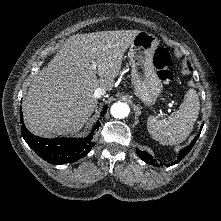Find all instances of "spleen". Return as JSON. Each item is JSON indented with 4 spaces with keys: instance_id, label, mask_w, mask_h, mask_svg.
<instances>
[{
    "instance_id": "3e777b00",
    "label": "spleen",
    "mask_w": 221,
    "mask_h": 221,
    "mask_svg": "<svg viewBox=\"0 0 221 221\" xmlns=\"http://www.w3.org/2000/svg\"><path fill=\"white\" fill-rule=\"evenodd\" d=\"M199 98L194 89H189L179 110L167 119L160 120L155 116L147 119V129L156 141L162 145H176L183 142L191 133L198 118Z\"/></svg>"
}]
</instances>
